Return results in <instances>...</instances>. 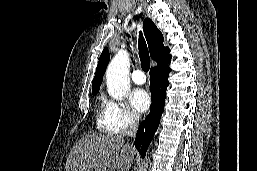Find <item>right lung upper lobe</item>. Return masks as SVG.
<instances>
[{
	"label": "right lung upper lobe",
	"mask_w": 257,
	"mask_h": 171,
	"mask_svg": "<svg viewBox=\"0 0 257 171\" xmlns=\"http://www.w3.org/2000/svg\"><path fill=\"white\" fill-rule=\"evenodd\" d=\"M143 29L148 43L151 58L156 61L157 64L170 62V50L167 47H164L162 33L159 31V29L150 18L144 19ZM109 59L110 55L108 48H104L100 55V59L96 68V73L92 81L93 94H97L99 92L100 85L103 80V75L105 73Z\"/></svg>",
	"instance_id": "obj_1"
}]
</instances>
